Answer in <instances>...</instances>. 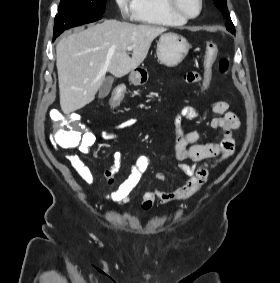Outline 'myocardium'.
<instances>
[{
    "mask_svg": "<svg viewBox=\"0 0 280 283\" xmlns=\"http://www.w3.org/2000/svg\"><path fill=\"white\" fill-rule=\"evenodd\" d=\"M168 7L169 9L179 17L185 19V20H190V19H195L197 18L203 10V0H198L199 3V9L196 14H189L186 11H184L178 3V0H167Z\"/></svg>",
    "mask_w": 280,
    "mask_h": 283,
    "instance_id": "obj_1",
    "label": "myocardium"
}]
</instances>
